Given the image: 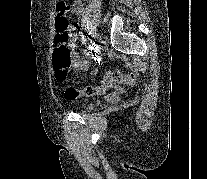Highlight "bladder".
<instances>
[{
	"label": "bladder",
	"mask_w": 207,
	"mask_h": 179,
	"mask_svg": "<svg viewBox=\"0 0 207 179\" xmlns=\"http://www.w3.org/2000/svg\"><path fill=\"white\" fill-rule=\"evenodd\" d=\"M95 106V101H85L82 104V110L84 112H90Z\"/></svg>",
	"instance_id": "31cf9c89"
}]
</instances>
